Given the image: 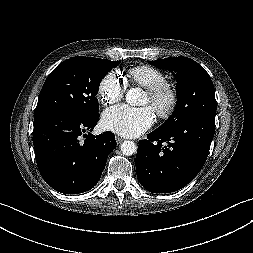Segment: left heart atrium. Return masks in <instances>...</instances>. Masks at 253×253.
<instances>
[{"label": "left heart atrium", "instance_id": "39dd6f15", "mask_svg": "<svg viewBox=\"0 0 253 253\" xmlns=\"http://www.w3.org/2000/svg\"><path fill=\"white\" fill-rule=\"evenodd\" d=\"M105 129L124 137H136L146 131L154 122L151 107L140 108L119 105L107 109L102 115Z\"/></svg>", "mask_w": 253, "mask_h": 253}]
</instances>
